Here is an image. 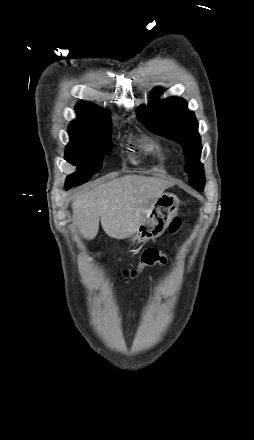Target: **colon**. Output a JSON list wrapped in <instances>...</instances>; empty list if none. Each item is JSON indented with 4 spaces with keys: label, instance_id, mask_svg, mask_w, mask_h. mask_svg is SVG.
Listing matches in <instances>:
<instances>
[{
    "label": "colon",
    "instance_id": "5ec220e1",
    "mask_svg": "<svg viewBox=\"0 0 254 440\" xmlns=\"http://www.w3.org/2000/svg\"><path fill=\"white\" fill-rule=\"evenodd\" d=\"M182 225L181 218H176L172 221L169 231L172 234H176ZM167 261L166 252L158 248H146L141 254L140 262L133 268H127L123 270V274L127 278H135L143 270L155 265L165 264Z\"/></svg>",
    "mask_w": 254,
    "mask_h": 440
}]
</instances>
